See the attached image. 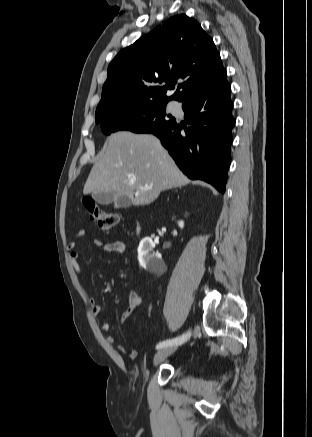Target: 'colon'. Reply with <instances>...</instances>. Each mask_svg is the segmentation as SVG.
<instances>
[{"label": "colon", "instance_id": "5ec220e1", "mask_svg": "<svg viewBox=\"0 0 312 437\" xmlns=\"http://www.w3.org/2000/svg\"><path fill=\"white\" fill-rule=\"evenodd\" d=\"M83 204L89 213L91 221L97 224L101 229H110L118 223V215L114 212L102 209L94 199L85 197Z\"/></svg>", "mask_w": 312, "mask_h": 437}]
</instances>
